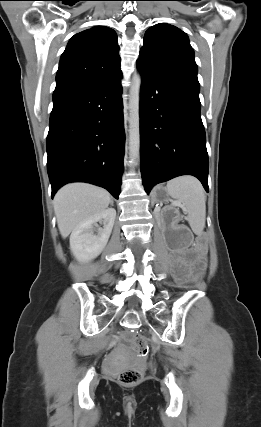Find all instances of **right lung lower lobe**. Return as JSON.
Here are the masks:
<instances>
[{"mask_svg": "<svg viewBox=\"0 0 261 427\" xmlns=\"http://www.w3.org/2000/svg\"><path fill=\"white\" fill-rule=\"evenodd\" d=\"M121 77L53 100L46 141L52 197L81 181L118 199L125 144Z\"/></svg>", "mask_w": 261, "mask_h": 427, "instance_id": "1", "label": "right lung lower lobe"}]
</instances>
